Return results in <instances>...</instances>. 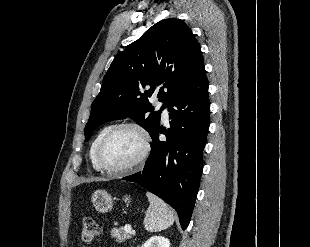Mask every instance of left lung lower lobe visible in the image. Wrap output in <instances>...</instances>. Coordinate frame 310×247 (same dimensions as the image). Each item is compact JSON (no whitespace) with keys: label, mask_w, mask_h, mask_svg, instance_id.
I'll use <instances>...</instances> for the list:
<instances>
[{"label":"left lung lower lobe","mask_w":310,"mask_h":247,"mask_svg":"<svg viewBox=\"0 0 310 247\" xmlns=\"http://www.w3.org/2000/svg\"><path fill=\"white\" fill-rule=\"evenodd\" d=\"M170 129L151 135V153L142 172L124 177L173 207L185 230L190 222L203 169V150L210 124L208 80L204 66L167 104ZM167 141H160L159 134Z\"/></svg>","instance_id":"left-lung-lower-lobe-1"}]
</instances>
